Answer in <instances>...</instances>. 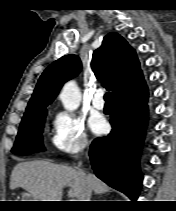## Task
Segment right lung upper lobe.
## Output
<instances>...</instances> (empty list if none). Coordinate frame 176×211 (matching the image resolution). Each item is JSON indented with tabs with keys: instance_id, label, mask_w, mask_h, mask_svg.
I'll return each instance as SVG.
<instances>
[{
	"instance_id": "cb5924a9",
	"label": "right lung upper lobe",
	"mask_w": 176,
	"mask_h": 211,
	"mask_svg": "<svg viewBox=\"0 0 176 211\" xmlns=\"http://www.w3.org/2000/svg\"><path fill=\"white\" fill-rule=\"evenodd\" d=\"M92 70L102 85L113 92L114 100L133 94L145 84L136 53L117 33H109L94 51ZM81 70L77 55H66L53 62L40 76L24 117L46 110L62 85Z\"/></svg>"
}]
</instances>
